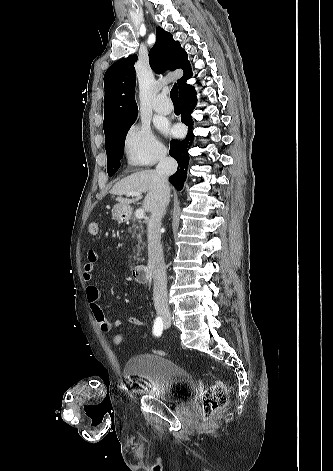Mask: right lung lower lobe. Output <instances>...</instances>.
Segmentation results:
<instances>
[{"label": "right lung lower lobe", "instance_id": "1", "mask_svg": "<svg viewBox=\"0 0 333 471\" xmlns=\"http://www.w3.org/2000/svg\"><path fill=\"white\" fill-rule=\"evenodd\" d=\"M182 107L181 121L188 126V134L183 141H171V148L169 154L178 162V169L175 174L170 176L169 181L173 186L181 190L184 185V180L187 176L188 153L187 148L192 143V118L191 113L194 110L197 100L194 88L187 85L179 94Z\"/></svg>", "mask_w": 333, "mask_h": 471}]
</instances>
